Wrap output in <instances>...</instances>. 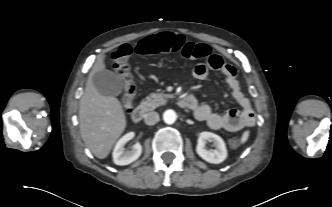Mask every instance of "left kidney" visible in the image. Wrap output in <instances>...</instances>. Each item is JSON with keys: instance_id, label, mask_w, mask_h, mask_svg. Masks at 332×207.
I'll return each mask as SVG.
<instances>
[{"instance_id": "1", "label": "left kidney", "mask_w": 332, "mask_h": 207, "mask_svg": "<svg viewBox=\"0 0 332 207\" xmlns=\"http://www.w3.org/2000/svg\"><path fill=\"white\" fill-rule=\"evenodd\" d=\"M205 140L213 141L216 149L213 151L207 150ZM196 152L202 159L212 164L221 163L227 158V150L223 139L211 132H202L200 134Z\"/></svg>"}]
</instances>
